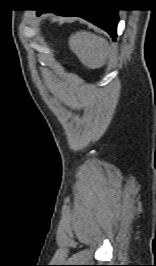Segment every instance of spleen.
I'll return each instance as SVG.
<instances>
[{"mask_svg":"<svg viewBox=\"0 0 156 266\" xmlns=\"http://www.w3.org/2000/svg\"><path fill=\"white\" fill-rule=\"evenodd\" d=\"M69 47L89 69L103 67L110 53V45L105 38L87 31L72 34L69 38Z\"/></svg>","mask_w":156,"mask_h":266,"instance_id":"obj_1","label":"spleen"}]
</instances>
